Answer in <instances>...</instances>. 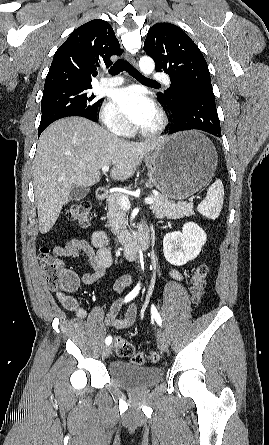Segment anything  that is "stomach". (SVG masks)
<instances>
[{
	"label": "stomach",
	"instance_id": "obj_1",
	"mask_svg": "<svg viewBox=\"0 0 269 445\" xmlns=\"http://www.w3.org/2000/svg\"><path fill=\"white\" fill-rule=\"evenodd\" d=\"M217 158L208 138L188 131L167 137L145 161L149 179L159 192L166 198L183 200L211 180Z\"/></svg>",
	"mask_w": 269,
	"mask_h": 445
}]
</instances>
